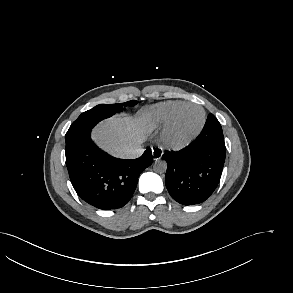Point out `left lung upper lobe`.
I'll use <instances>...</instances> for the list:
<instances>
[{"label": "left lung upper lobe", "instance_id": "left-lung-upper-lobe-1", "mask_svg": "<svg viewBox=\"0 0 293 293\" xmlns=\"http://www.w3.org/2000/svg\"><path fill=\"white\" fill-rule=\"evenodd\" d=\"M209 117L214 118V119L217 121V123H219V121L217 120V118H216L213 114H209V115H208V118H209ZM219 124H220V123H219Z\"/></svg>", "mask_w": 293, "mask_h": 293}]
</instances>
